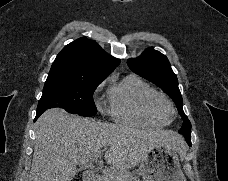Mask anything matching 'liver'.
<instances>
[{"label": "liver", "mask_w": 228, "mask_h": 181, "mask_svg": "<svg viewBox=\"0 0 228 181\" xmlns=\"http://www.w3.org/2000/svg\"><path fill=\"white\" fill-rule=\"evenodd\" d=\"M35 147L29 181H72L79 167H88L103 147L111 169H133L149 149L171 145L185 149L178 133L161 129H131L122 125L81 119L64 109H48L35 123Z\"/></svg>", "instance_id": "liver-1"}]
</instances>
